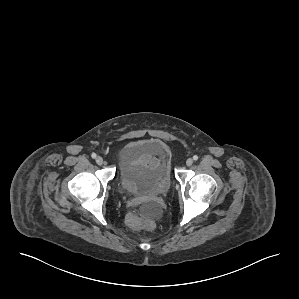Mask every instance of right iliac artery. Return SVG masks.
<instances>
[{"instance_id": "1", "label": "right iliac artery", "mask_w": 299, "mask_h": 299, "mask_svg": "<svg viewBox=\"0 0 299 299\" xmlns=\"http://www.w3.org/2000/svg\"><path fill=\"white\" fill-rule=\"evenodd\" d=\"M91 157H92L93 159H95V158L97 157V155H96L95 153H93V154L91 155Z\"/></svg>"}]
</instances>
